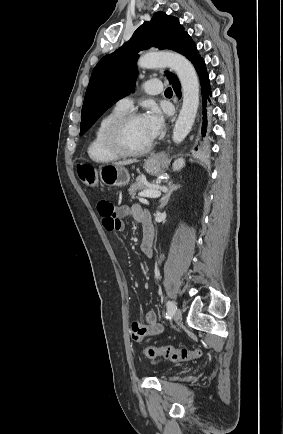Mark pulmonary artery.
Listing matches in <instances>:
<instances>
[{"instance_id": "pulmonary-artery-1", "label": "pulmonary artery", "mask_w": 283, "mask_h": 434, "mask_svg": "<svg viewBox=\"0 0 283 434\" xmlns=\"http://www.w3.org/2000/svg\"><path fill=\"white\" fill-rule=\"evenodd\" d=\"M144 88L149 95H156L161 93L162 83L156 79L148 80L144 83ZM116 107L129 111L133 107V100L129 97L122 98L116 103Z\"/></svg>"}]
</instances>
